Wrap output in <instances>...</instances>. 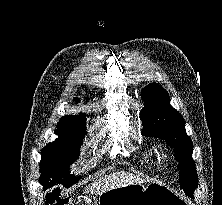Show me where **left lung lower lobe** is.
<instances>
[{"label":"left lung lower lobe","mask_w":222,"mask_h":205,"mask_svg":"<svg viewBox=\"0 0 222 205\" xmlns=\"http://www.w3.org/2000/svg\"><path fill=\"white\" fill-rule=\"evenodd\" d=\"M186 193V192H185ZM188 196L192 197L193 198V193H186Z\"/></svg>","instance_id":"left-lung-lower-lobe-1"}]
</instances>
